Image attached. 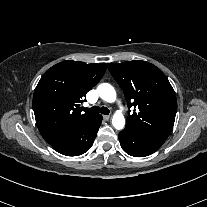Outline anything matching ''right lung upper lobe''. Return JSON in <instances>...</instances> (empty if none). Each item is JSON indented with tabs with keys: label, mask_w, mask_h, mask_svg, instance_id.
Here are the masks:
<instances>
[{
	"label": "right lung upper lobe",
	"mask_w": 207,
	"mask_h": 207,
	"mask_svg": "<svg viewBox=\"0 0 207 207\" xmlns=\"http://www.w3.org/2000/svg\"><path fill=\"white\" fill-rule=\"evenodd\" d=\"M105 71V63L63 61L44 73L34 91L33 110L39 131L49 144L99 115L82 114L79 106Z\"/></svg>",
	"instance_id": "1"
}]
</instances>
